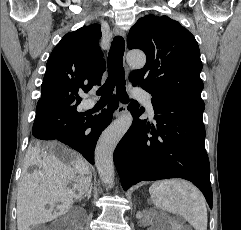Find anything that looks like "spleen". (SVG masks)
<instances>
[{
	"label": "spleen",
	"instance_id": "spleen-1",
	"mask_svg": "<svg viewBox=\"0 0 241 230\" xmlns=\"http://www.w3.org/2000/svg\"><path fill=\"white\" fill-rule=\"evenodd\" d=\"M149 192L154 205L173 214H180L196 230H207V208L201 192L182 180L157 181Z\"/></svg>",
	"mask_w": 241,
	"mask_h": 230
}]
</instances>
